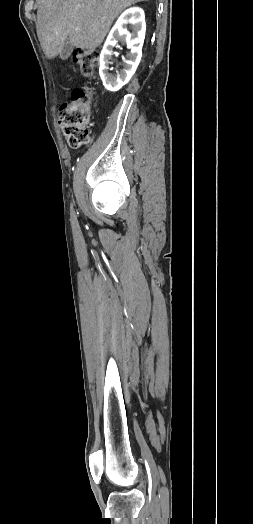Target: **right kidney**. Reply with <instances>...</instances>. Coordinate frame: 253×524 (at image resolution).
I'll list each match as a JSON object with an SVG mask.
<instances>
[{
    "label": "right kidney",
    "mask_w": 253,
    "mask_h": 524,
    "mask_svg": "<svg viewBox=\"0 0 253 524\" xmlns=\"http://www.w3.org/2000/svg\"><path fill=\"white\" fill-rule=\"evenodd\" d=\"M130 24L132 33L127 30ZM146 23L144 11L140 8H130L124 11L111 29L100 54L99 74L104 87L115 92L129 82L135 73L142 57V46L145 39ZM118 42H125L130 49L128 59L125 60L123 69L116 76L107 72L111 64L113 47Z\"/></svg>",
    "instance_id": "obj_1"
}]
</instances>
